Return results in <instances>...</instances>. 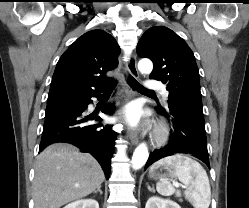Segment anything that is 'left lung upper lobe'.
Segmentation results:
<instances>
[{
	"instance_id": "left-lung-upper-lobe-1",
	"label": "left lung upper lobe",
	"mask_w": 249,
	"mask_h": 208,
	"mask_svg": "<svg viewBox=\"0 0 249 208\" xmlns=\"http://www.w3.org/2000/svg\"><path fill=\"white\" fill-rule=\"evenodd\" d=\"M137 53L152 60L150 78L167 85L168 104L182 102L202 109L195 57L181 37L167 27H151L142 35Z\"/></svg>"
}]
</instances>
